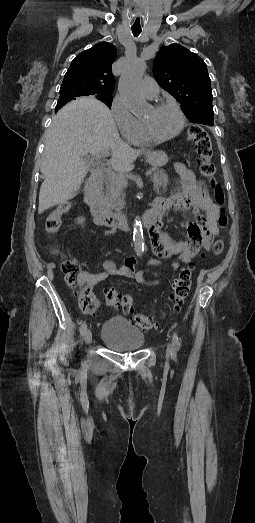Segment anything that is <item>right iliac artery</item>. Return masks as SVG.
<instances>
[{
    "instance_id": "obj_1",
    "label": "right iliac artery",
    "mask_w": 255,
    "mask_h": 523,
    "mask_svg": "<svg viewBox=\"0 0 255 523\" xmlns=\"http://www.w3.org/2000/svg\"><path fill=\"white\" fill-rule=\"evenodd\" d=\"M86 328H87V325H86L85 322H83V323L81 324V326H80V333H81V335H83V334L85 333Z\"/></svg>"
}]
</instances>
